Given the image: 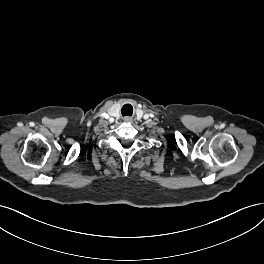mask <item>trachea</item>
<instances>
[{
    "instance_id": "3493384b",
    "label": "trachea",
    "mask_w": 264,
    "mask_h": 264,
    "mask_svg": "<svg viewBox=\"0 0 264 264\" xmlns=\"http://www.w3.org/2000/svg\"><path fill=\"white\" fill-rule=\"evenodd\" d=\"M126 106H127V105H125V106L123 107V109H122L123 111H125V109H126L125 107H126Z\"/></svg>"
}]
</instances>
